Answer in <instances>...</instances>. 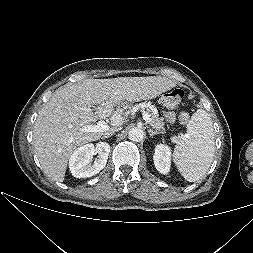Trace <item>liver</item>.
I'll use <instances>...</instances> for the list:
<instances>
[{"mask_svg": "<svg viewBox=\"0 0 253 253\" xmlns=\"http://www.w3.org/2000/svg\"><path fill=\"white\" fill-rule=\"evenodd\" d=\"M175 86L176 82L166 77L148 76L87 79L60 87L39 110L34 124V151L44 173L53 181L63 182L68 160L78 147L122 125L116 107L123 102L154 99ZM110 116L113 128L105 133L80 130Z\"/></svg>", "mask_w": 253, "mask_h": 253, "instance_id": "1", "label": "liver"}]
</instances>
